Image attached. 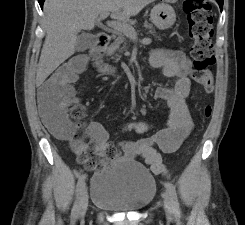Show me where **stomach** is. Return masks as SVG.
<instances>
[{
	"label": "stomach",
	"mask_w": 245,
	"mask_h": 225,
	"mask_svg": "<svg viewBox=\"0 0 245 225\" xmlns=\"http://www.w3.org/2000/svg\"><path fill=\"white\" fill-rule=\"evenodd\" d=\"M150 21L159 29L170 28L176 21V14L172 6L167 3L155 5L150 13Z\"/></svg>",
	"instance_id": "1"
}]
</instances>
